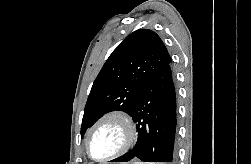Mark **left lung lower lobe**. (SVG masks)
Listing matches in <instances>:
<instances>
[{
  "instance_id": "1",
  "label": "left lung lower lobe",
  "mask_w": 251,
  "mask_h": 164,
  "mask_svg": "<svg viewBox=\"0 0 251 164\" xmlns=\"http://www.w3.org/2000/svg\"><path fill=\"white\" fill-rule=\"evenodd\" d=\"M171 63V62H170ZM170 63L144 87L131 116L137 122L138 140L123 159L143 162H174L176 159V91Z\"/></svg>"
}]
</instances>
